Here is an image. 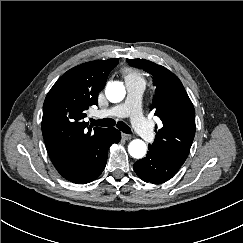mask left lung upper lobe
I'll return each instance as SVG.
<instances>
[{
  "instance_id": "5c2ea615",
  "label": "left lung upper lobe",
  "mask_w": 243,
  "mask_h": 243,
  "mask_svg": "<svg viewBox=\"0 0 243 243\" xmlns=\"http://www.w3.org/2000/svg\"><path fill=\"white\" fill-rule=\"evenodd\" d=\"M130 65L150 73L156 87L151 110L162 121L152 145L184 163L195 135V110L181 81L171 71L145 59H127ZM157 128V126H156Z\"/></svg>"
}]
</instances>
